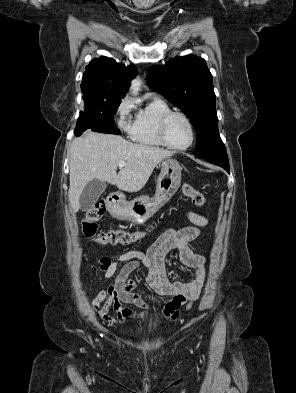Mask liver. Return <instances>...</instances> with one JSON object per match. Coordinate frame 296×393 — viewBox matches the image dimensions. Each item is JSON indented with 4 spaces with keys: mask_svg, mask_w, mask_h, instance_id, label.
Masks as SVG:
<instances>
[{
    "mask_svg": "<svg viewBox=\"0 0 296 393\" xmlns=\"http://www.w3.org/2000/svg\"><path fill=\"white\" fill-rule=\"evenodd\" d=\"M172 155V151L132 143L117 135L86 131L72 141L69 149L68 197L73 211L79 210L80 195L91 180L108 182L123 191L137 192L145 186L154 168ZM121 161L126 165L117 174Z\"/></svg>",
    "mask_w": 296,
    "mask_h": 393,
    "instance_id": "1",
    "label": "liver"
}]
</instances>
